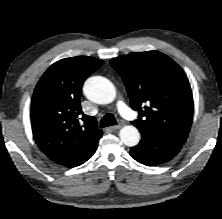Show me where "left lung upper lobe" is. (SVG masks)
<instances>
[{"mask_svg": "<svg viewBox=\"0 0 222 219\" xmlns=\"http://www.w3.org/2000/svg\"><path fill=\"white\" fill-rule=\"evenodd\" d=\"M110 64L126 85L132 109L139 112L132 124L183 145L191 127L193 98L180 66L158 51L119 56Z\"/></svg>", "mask_w": 222, "mask_h": 219, "instance_id": "obj_1", "label": "left lung upper lobe"}]
</instances>
